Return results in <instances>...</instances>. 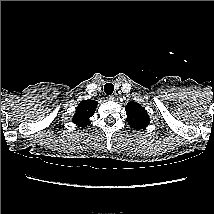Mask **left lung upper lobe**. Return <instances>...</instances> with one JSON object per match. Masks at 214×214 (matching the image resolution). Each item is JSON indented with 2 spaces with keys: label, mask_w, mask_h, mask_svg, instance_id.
I'll return each mask as SVG.
<instances>
[{
  "label": "left lung upper lobe",
  "mask_w": 214,
  "mask_h": 214,
  "mask_svg": "<svg viewBox=\"0 0 214 214\" xmlns=\"http://www.w3.org/2000/svg\"><path fill=\"white\" fill-rule=\"evenodd\" d=\"M125 111L127 114V121L131 128L140 130L148 126L150 118L145 108L139 103L130 101Z\"/></svg>",
  "instance_id": "5c2ea615"
}]
</instances>
